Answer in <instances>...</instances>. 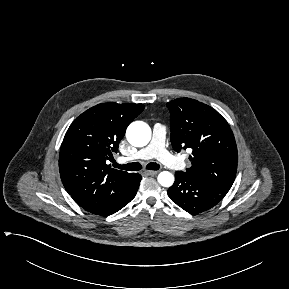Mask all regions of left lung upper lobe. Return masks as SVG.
<instances>
[{
    "instance_id": "left-lung-upper-lobe-1",
    "label": "left lung upper lobe",
    "mask_w": 289,
    "mask_h": 289,
    "mask_svg": "<svg viewBox=\"0 0 289 289\" xmlns=\"http://www.w3.org/2000/svg\"><path fill=\"white\" fill-rule=\"evenodd\" d=\"M171 143L176 151L191 148L187 174L230 189L237 171L238 153L233 132L215 109L191 98L167 103Z\"/></svg>"
}]
</instances>
